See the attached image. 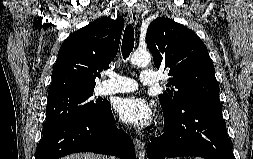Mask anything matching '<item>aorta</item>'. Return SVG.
<instances>
[{"instance_id": "1", "label": "aorta", "mask_w": 253, "mask_h": 159, "mask_svg": "<svg viewBox=\"0 0 253 159\" xmlns=\"http://www.w3.org/2000/svg\"><path fill=\"white\" fill-rule=\"evenodd\" d=\"M151 62V54L146 50H137L131 56V63L136 66H146Z\"/></svg>"}]
</instances>
